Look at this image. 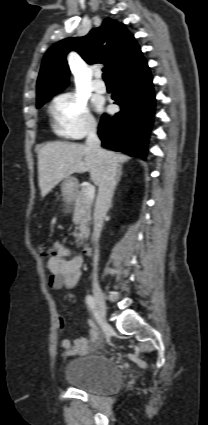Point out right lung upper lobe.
Listing matches in <instances>:
<instances>
[{"mask_svg": "<svg viewBox=\"0 0 208 425\" xmlns=\"http://www.w3.org/2000/svg\"><path fill=\"white\" fill-rule=\"evenodd\" d=\"M71 50L77 51L88 64H105L104 70L111 79L143 58L140 47L124 24L106 18L86 36L61 40L48 49L37 81V103L68 85L70 71L66 54Z\"/></svg>", "mask_w": 208, "mask_h": 425, "instance_id": "right-lung-upper-lobe-1", "label": "right lung upper lobe"}]
</instances>
